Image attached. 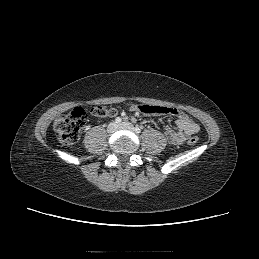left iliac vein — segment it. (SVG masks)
Masks as SVG:
<instances>
[{
    "mask_svg": "<svg viewBox=\"0 0 259 259\" xmlns=\"http://www.w3.org/2000/svg\"><path fill=\"white\" fill-rule=\"evenodd\" d=\"M119 128L121 129H126V130H130V131H135V128L133 127V125L129 122H123L119 125Z\"/></svg>",
    "mask_w": 259,
    "mask_h": 259,
    "instance_id": "1",
    "label": "left iliac vein"
}]
</instances>
